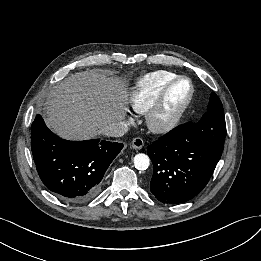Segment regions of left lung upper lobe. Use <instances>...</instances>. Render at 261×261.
Here are the masks:
<instances>
[{
	"mask_svg": "<svg viewBox=\"0 0 261 261\" xmlns=\"http://www.w3.org/2000/svg\"><path fill=\"white\" fill-rule=\"evenodd\" d=\"M197 125L199 126V141L223 151L226 123L222 103L214 92L211 94L207 112Z\"/></svg>",
	"mask_w": 261,
	"mask_h": 261,
	"instance_id": "1",
	"label": "left lung upper lobe"
}]
</instances>
